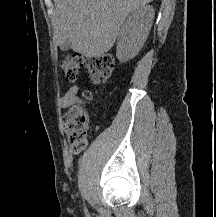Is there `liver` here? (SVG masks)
I'll return each instance as SVG.
<instances>
[{
	"label": "liver",
	"instance_id": "1",
	"mask_svg": "<svg viewBox=\"0 0 216 217\" xmlns=\"http://www.w3.org/2000/svg\"><path fill=\"white\" fill-rule=\"evenodd\" d=\"M153 0H54V40L69 41L86 57H100L114 45L126 17Z\"/></svg>",
	"mask_w": 216,
	"mask_h": 217
}]
</instances>
